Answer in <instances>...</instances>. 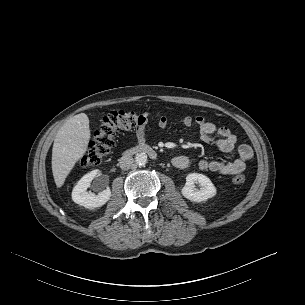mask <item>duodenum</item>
<instances>
[{
	"label": "duodenum",
	"mask_w": 305,
	"mask_h": 305,
	"mask_svg": "<svg viewBox=\"0 0 305 305\" xmlns=\"http://www.w3.org/2000/svg\"><path fill=\"white\" fill-rule=\"evenodd\" d=\"M128 154L146 153L151 157H156V151L149 145H136L125 150Z\"/></svg>",
	"instance_id": "duodenum-1"
}]
</instances>
